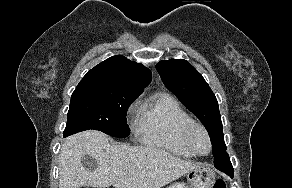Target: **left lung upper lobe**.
Here are the masks:
<instances>
[{
    "label": "left lung upper lobe",
    "instance_id": "1",
    "mask_svg": "<svg viewBox=\"0 0 292 188\" xmlns=\"http://www.w3.org/2000/svg\"><path fill=\"white\" fill-rule=\"evenodd\" d=\"M156 69L164 85L200 119L207 129L213 145L214 165L223 164L229 156L225 151L218 102L202 75L183 59L160 61ZM224 168L232 169L229 166Z\"/></svg>",
    "mask_w": 292,
    "mask_h": 188
}]
</instances>
